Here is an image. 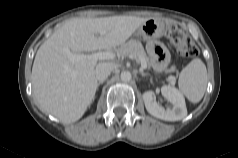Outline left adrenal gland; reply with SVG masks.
Returning a JSON list of instances; mask_svg holds the SVG:
<instances>
[{"label":"left adrenal gland","mask_w":238,"mask_h":158,"mask_svg":"<svg viewBox=\"0 0 238 158\" xmlns=\"http://www.w3.org/2000/svg\"><path fill=\"white\" fill-rule=\"evenodd\" d=\"M140 74H141L142 77H145V76H148V75H149V74H147V73H144L143 71H140Z\"/></svg>","instance_id":"1"}]
</instances>
